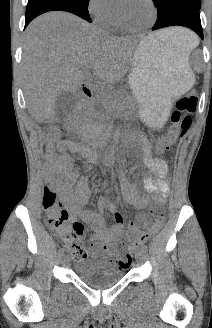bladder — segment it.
<instances>
[{
    "instance_id": "31cf9c89",
    "label": "bladder",
    "mask_w": 212,
    "mask_h": 328,
    "mask_svg": "<svg viewBox=\"0 0 212 328\" xmlns=\"http://www.w3.org/2000/svg\"><path fill=\"white\" fill-rule=\"evenodd\" d=\"M75 275L86 285L94 289H104L119 281L125 275L123 270L100 271L92 260H79L74 263Z\"/></svg>"
}]
</instances>
